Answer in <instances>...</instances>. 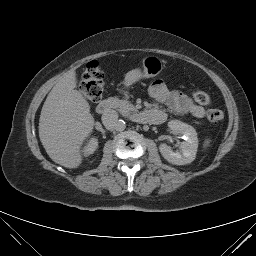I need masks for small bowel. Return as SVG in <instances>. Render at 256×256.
Returning <instances> with one entry per match:
<instances>
[{
  "label": "small bowel",
  "mask_w": 256,
  "mask_h": 256,
  "mask_svg": "<svg viewBox=\"0 0 256 256\" xmlns=\"http://www.w3.org/2000/svg\"><path fill=\"white\" fill-rule=\"evenodd\" d=\"M149 95L156 105L149 110L155 117L154 123L165 120L166 114L158 107L166 105L171 111L178 114H189L197 119H202L206 111L199 104L193 102L187 95L176 90H170L161 80H155L148 89Z\"/></svg>",
  "instance_id": "1"
}]
</instances>
